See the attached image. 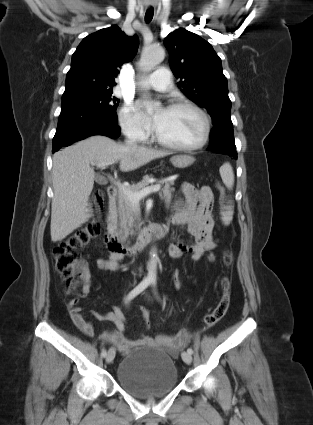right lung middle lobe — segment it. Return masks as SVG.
I'll use <instances>...</instances> for the list:
<instances>
[{
    "instance_id": "obj_1",
    "label": "right lung middle lobe",
    "mask_w": 313,
    "mask_h": 425,
    "mask_svg": "<svg viewBox=\"0 0 313 425\" xmlns=\"http://www.w3.org/2000/svg\"><path fill=\"white\" fill-rule=\"evenodd\" d=\"M112 89H84L64 93L62 104L74 103L98 108L105 112L116 114L119 100L114 97Z\"/></svg>"
}]
</instances>
